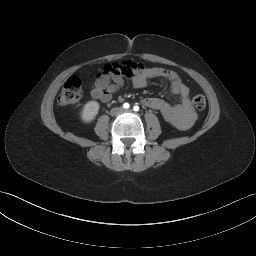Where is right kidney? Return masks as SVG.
<instances>
[{
    "mask_svg": "<svg viewBox=\"0 0 256 256\" xmlns=\"http://www.w3.org/2000/svg\"><path fill=\"white\" fill-rule=\"evenodd\" d=\"M99 108L100 105L97 101L87 102L80 113L82 121L85 123L93 121L98 114Z\"/></svg>",
    "mask_w": 256,
    "mask_h": 256,
    "instance_id": "ca27d5eb",
    "label": "right kidney"
}]
</instances>
